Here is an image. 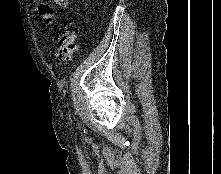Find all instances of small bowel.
<instances>
[{"label":"small bowel","instance_id":"small-bowel-1","mask_svg":"<svg viewBox=\"0 0 221 174\" xmlns=\"http://www.w3.org/2000/svg\"><path fill=\"white\" fill-rule=\"evenodd\" d=\"M37 2L38 0H32ZM53 5L46 3H40L37 6V11L41 16L42 23L44 25H51L55 21V9L54 6H57L61 9H66L69 5L68 0H51Z\"/></svg>","mask_w":221,"mask_h":174}]
</instances>
